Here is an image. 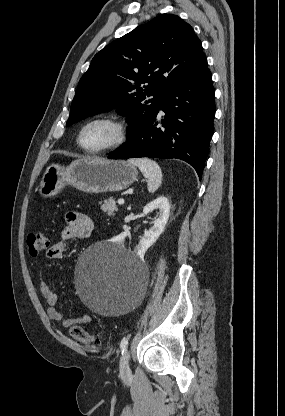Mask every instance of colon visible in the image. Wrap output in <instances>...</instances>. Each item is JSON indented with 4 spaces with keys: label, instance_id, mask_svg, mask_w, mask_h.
Here are the masks:
<instances>
[{
    "label": "colon",
    "instance_id": "colon-1",
    "mask_svg": "<svg viewBox=\"0 0 285 416\" xmlns=\"http://www.w3.org/2000/svg\"><path fill=\"white\" fill-rule=\"evenodd\" d=\"M27 244L30 255L34 257L41 254L50 246L48 238L40 232L29 234ZM70 335L78 343L90 348L98 347L101 344V337L99 335L91 334L78 325L70 327Z\"/></svg>",
    "mask_w": 285,
    "mask_h": 416
}]
</instances>
